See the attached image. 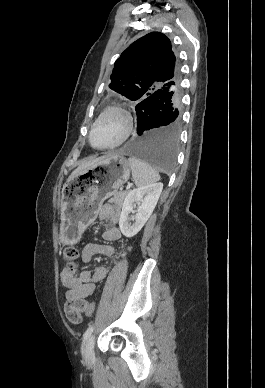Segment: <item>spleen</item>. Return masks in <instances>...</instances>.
Here are the masks:
<instances>
[{
  "mask_svg": "<svg viewBox=\"0 0 265 388\" xmlns=\"http://www.w3.org/2000/svg\"><path fill=\"white\" fill-rule=\"evenodd\" d=\"M129 166L132 172V178L136 186H149L154 182H159L160 176L154 168H151L145 160H137V158H128Z\"/></svg>",
  "mask_w": 265,
  "mask_h": 388,
  "instance_id": "obj_1",
  "label": "spleen"
}]
</instances>
